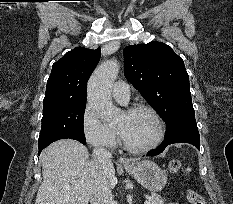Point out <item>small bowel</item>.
<instances>
[{"mask_svg":"<svg viewBox=\"0 0 233 204\" xmlns=\"http://www.w3.org/2000/svg\"><path fill=\"white\" fill-rule=\"evenodd\" d=\"M169 204H179V203H169Z\"/></svg>","mask_w":233,"mask_h":204,"instance_id":"1","label":"small bowel"}]
</instances>
